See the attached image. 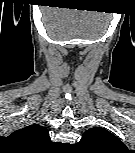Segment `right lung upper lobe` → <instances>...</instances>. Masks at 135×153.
I'll use <instances>...</instances> for the list:
<instances>
[{
    "mask_svg": "<svg viewBox=\"0 0 135 153\" xmlns=\"http://www.w3.org/2000/svg\"><path fill=\"white\" fill-rule=\"evenodd\" d=\"M14 134L22 140L39 145L50 140L47 129L38 124L29 125L23 129L17 130Z\"/></svg>",
    "mask_w": 135,
    "mask_h": 153,
    "instance_id": "right-lung-upper-lobe-1",
    "label": "right lung upper lobe"
}]
</instances>
